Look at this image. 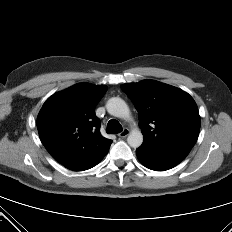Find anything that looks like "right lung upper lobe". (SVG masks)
<instances>
[{
    "label": "right lung upper lobe",
    "mask_w": 232,
    "mask_h": 232,
    "mask_svg": "<svg viewBox=\"0 0 232 232\" xmlns=\"http://www.w3.org/2000/svg\"><path fill=\"white\" fill-rule=\"evenodd\" d=\"M107 87L78 84L55 93L44 103L37 118L41 142L66 168L101 160L112 140L100 134L95 107Z\"/></svg>",
    "instance_id": "obj_1"
}]
</instances>
